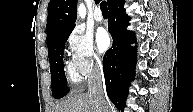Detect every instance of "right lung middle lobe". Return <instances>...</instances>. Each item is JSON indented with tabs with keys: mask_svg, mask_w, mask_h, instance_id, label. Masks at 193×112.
<instances>
[{
	"mask_svg": "<svg viewBox=\"0 0 193 112\" xmlns=\"http://www.w3.org/2000/svg\"><path fill=\"white\" fill-rule=\"evenodd\" d=\"M72 30L73 28L62 32L47 45L50 61L52 94L55 99L62 98L69 92L63 67V54L65 43Z\"/></svg>",
	"mask_w": 193,
	"mask_h": 112,
	"instance_id": "1",
	"label": "right lung middle lobe"
}]
</instances>
